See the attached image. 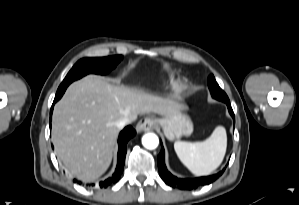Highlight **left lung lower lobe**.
<instances>
[{"instance_id":"obj_1","label":"left lung lower lobe","mask_w":299,"mask_h":205,"mask_svg":"<svg viewBox=\"0 0 299 205\" xmlns=\"http://www.w3.org/2000/svg\"><path fill=\"white\" fill-rule=\"evenodd\" d=\"M220 101L227 104L229 113L235 120V116H234L233 110L231 108L229 99H222ZM161 146H162V142H161ZM157 161H158L159 173H160V176L163 179V181L167 185H169L173 188L181 189V190H185V189L191 190V189H196V188L204 186V185H208V184L212 183L213 181H215L217 178H219L222 175V173L224 172V169H223L218 174L207 176V177L194 178V179L177 178V177L173 176L170 172H168V170L165 166L163 146H162V150H161L160 154L157 157Z\"/></svg>"}]
</instances>
